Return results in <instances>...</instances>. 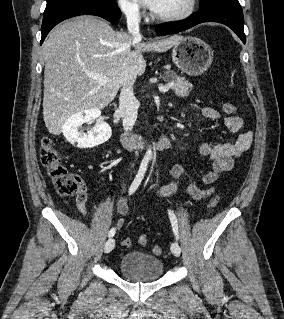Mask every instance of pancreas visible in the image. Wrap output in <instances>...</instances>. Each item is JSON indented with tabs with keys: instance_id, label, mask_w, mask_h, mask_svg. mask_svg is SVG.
<instances>
[{
	"instance_id": "pancreas-1",
	"label": "pancreas",
	"mask_w": 284,
	"mask_h": 319,
	"mask_svg": "<svg viewBox=\"0 0 284 319\" xmlns=\"http://www.w3.org/2000/svg\"><path fill=\"white\" fill-rule=\"evenodd\" d=\"M164 80L173 84L171 89L177 96L186 97L192 89V84L189 83L184 77L177 76L174 72L169 71L165 73Z\"/></svg>"
}]
</instances>
